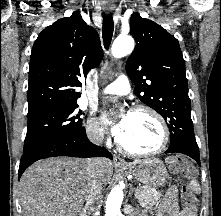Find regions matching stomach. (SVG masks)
<instances>
[{"label": "stomach", "mask_w": 221, "mask_h": 216, "mask_svg": "<svg viewBox=\"0 0 221 216\" xmlns=\"http://www.w3.org/2000/svg\"><path fill=\"white\" fill-rule=\"evenodd\" d=\"M127 171L135 176L145 187L154 189L162 187L168 176L163 162L156 158L148 159L138 164H131Z\"/></svg>", "instance_id": "0dacf381"}]
</instances>
